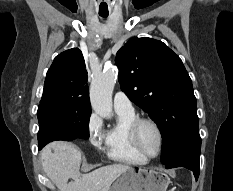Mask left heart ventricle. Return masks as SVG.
I'll return each mask as SVG.
<instances>
[{
    "mask_svg": "<svg viewBox=\"0 0 233 191\" xmlns=\"http://www.w3.org/2000/svg\"><path fill=\"white\" fill-rule=\"evenodd\" d=\"M139 143L146 155L153 156L158 149V135L150 124H143L139 130Z\"/></svg>",
    "mask_w": 233,
    "mask_h": 191,
    "instance_id": "b2bd125f",
    "label": "left heart ventricle"
}]
</instances>
